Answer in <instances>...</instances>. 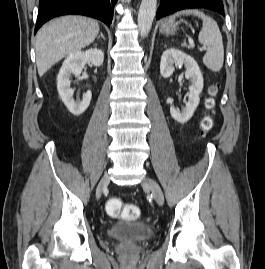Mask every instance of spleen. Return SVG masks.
<instances>
[{"label": "spleen", "mask_w": 265, "mask_h": 269, "mask_svg": "<svg viewBox=\"0 0 265 269\" xmlns=\"http://www.w3.org/2000/svg\"><path fill=\"white\" fill-rule=\"evenodd\" d=\"M180 15H193L202 19V29L199 33L198 40L207 47V52L203 57V63L212 72H219L223 67L224 48L222 35L216 21L197 9L179 11L170 17V21L173 22Z\"/></svg>", "instance_id": "1"}]
</instances>
